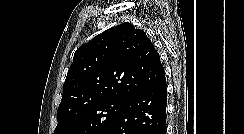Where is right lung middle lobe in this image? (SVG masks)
I'll return each mask as SVG.
<instances>
[{
	"mask_svg": "<svg viewBox=\"0 0 244 134\" xmlns=\"http://www.w3.org/2000/svg\"><path fill=\"white\" fill-rule=\"evenodd\" d=\"M127 99L112 98L91 104L75 115L58 120L54 134H103Z\"/></svg>",
	"mask_w": 244,
	"mask_h": 134,
	"instance_id": "right-lung-middle-lobe-1",
	"label": "right lung middle lobe"
}]
</instances>
